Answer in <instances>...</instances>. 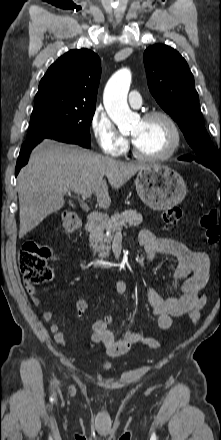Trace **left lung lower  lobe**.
<instances>
[{"mask_svg":"<svg viewBox=\"0 0 221 440\" xmlns=\"http://www.w3.org/2000/svg\"><path fill=\"white\" fill-rule=\"evenodd\" d=\"M179 160H186V161H189L188 159H186V157H184V156H182V157H179L178 158ZM219 177H221V171L220 170H215L214 171Z\"/></svg>","mask_w":221,"mask_h":440,"instance_id":"1","label":"left lung lower lobe"}]
</instances>
